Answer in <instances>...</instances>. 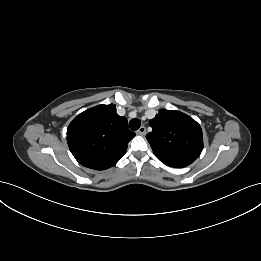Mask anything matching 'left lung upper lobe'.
I'll list each match as a JSON object with an SVG mask.
<instances>
[{"mask_svg": "<svg viewBox=\"0 0 261 261\" xmlns=\"http://www.w3.org/2000/svg\"><path fill=\"white\" fill-rule=\"evenodd\" d=\"M146 135L154 155L165 165L183 168L194 162L203 149L200 125L176 110H160Z\"/></svg>", "mask_w": 261, "mask_h": 261, "instance_id": "obj_1", "label": "left lung upper lobe"}]
</instances>
